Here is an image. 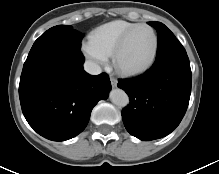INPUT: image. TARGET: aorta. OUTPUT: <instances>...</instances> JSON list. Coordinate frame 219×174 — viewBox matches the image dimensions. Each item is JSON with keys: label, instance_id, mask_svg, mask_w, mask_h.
<instances>
[{"label": "aorta", "instance_id": "aorta-1", "mask_svg": "<svg viewBox=\"0 0 219 174\" xmlns=\"http://www.w3.org/2000/svg\"><path fill=\"white\" fill-rule=\"evenodd\" d=\"M110 100L113 104L119 107H125L129 104V97L122 89H113L110 92Z\"/></svg>", "mask_w": 219, "mask_h": 174}]
</instances>
